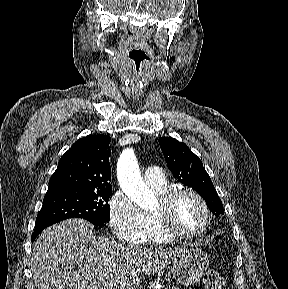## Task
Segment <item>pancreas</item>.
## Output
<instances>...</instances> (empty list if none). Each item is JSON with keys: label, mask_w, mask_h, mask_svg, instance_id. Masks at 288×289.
<instances>
[{"label": "pancreas", "mask_w": 288, "mask_h": 289, "mask_svg": "<svg viewBox=\"0 0 288 289\" xmlns=\"http://www.w3.org/2000/svg\"><path fill=\"white\" fill-rule=\"evenodd\" d=\"M169 289H178V288L175 286H172V287H169Z\"/></svg>", "instance_id": "pancreas-1"}]
</instances>
